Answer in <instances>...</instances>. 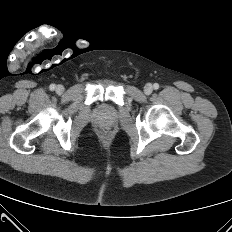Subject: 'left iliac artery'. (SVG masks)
I'll use <instances>...</instances> for the list:
<instances>
[{
    "label": "left iliac artery",
    "mask_w": 232,
    "mask_h": 232,
    "mask_svg": "<svg viewBox=\"0 0 232 232\" xmlns=\"http://www.w3.org/2000/svg\"><path fill=\"white\" fill-rule=\"evenodd\" d=\"M153 87H154V89H158V88H159V84L155 83V84L153 85Z\"/></svg>",
    "instance_id": "left-iliac-artery-1"
}]
</instances>
